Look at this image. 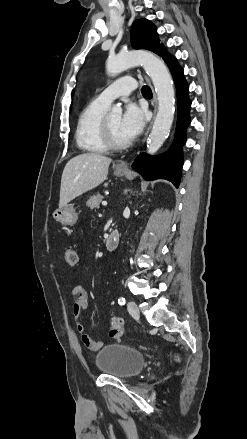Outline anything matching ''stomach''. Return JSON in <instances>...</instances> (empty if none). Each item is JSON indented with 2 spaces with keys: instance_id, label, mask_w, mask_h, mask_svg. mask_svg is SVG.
I'll list each match as a JSON object with an SVG mask.
<instances>
[{
  "instance_id": "1",
  "label": "stomach",
  "mask_w": 247,
  "mask_h": 439,
  "mask_svg": "<svg viewBox=\"0 0 247 439\" xmlns=\"http://www.w3.org/2000/svg\"><path fill=\"white\" fill-rule=\"evenodd\" d=\"M114 174L116 176H123L126 174V170L116 169ZM53 217L64 225H74L78 219L73 205H65L63 208H58L54 211Z\"/></svg>"
}]
</instances>
